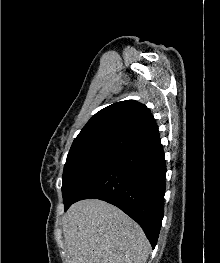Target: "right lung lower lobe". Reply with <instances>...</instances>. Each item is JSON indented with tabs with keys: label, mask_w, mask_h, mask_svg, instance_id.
I'll list each match as a JSON object with an SVG mask.
<instances>
[{
	"label": "right lung lower lobe",
	"mask_w": 220,
	"mask_h": 263,
	"mask_svg": "<svg viewBox=\"0 0 220 263\" xmlns=\"http://www.w3.org/2000/svg\"><path fill=\"white\" fill-rule=\"evenodd\" d=\"M166 164L159 134L120 151L65 206L96 198L111 203L144 230L154 248L164 213Z\"/></svg>",
	"instance_id": "right-lung-lower-lobe-1"
}]
</instances>
